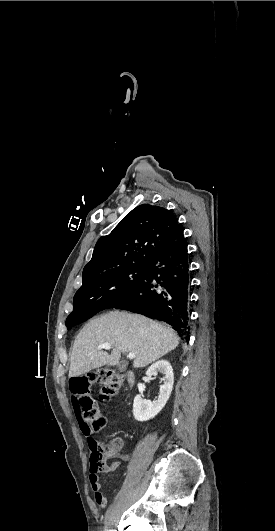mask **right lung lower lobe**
<instances>
[{
    "label": "right lung lower lobe",
    "mask_w": 275,
    "mask_h": 531,
    "mask_svg": "<svg viewBox=\"0 0 275 531\" xmlns=\"http://www.w3.org/2000/svg\"><path fill=\"white\" fill-rule=\"evenodd\" d=\"M187 248L180 225L147 264L141 282L113 308L165 321L189 339Z\"/></svg>",
    "instance_id": "1"
}]
</instances>
